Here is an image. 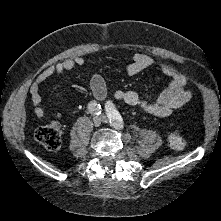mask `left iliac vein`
Here are the masks:
<instances>
[{
    "mask_svg": "<svg viewBox=\"0 0 221 221\" xmlns=\"http://www.w3.org/2000/svg\"><path fill=\"white\" fill-rule=\"evenodd\" d=\"M102 120H103V122H104V123H107V122H108L107 117H106V116H104V115H102Z\"/></svg>",
    "mask_w": 221,
    "mask_h": 221,
    "instance_id": "4c4485c4",
    "label": "left iliac vein"
}]
</instances>
